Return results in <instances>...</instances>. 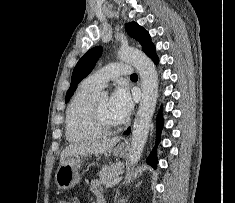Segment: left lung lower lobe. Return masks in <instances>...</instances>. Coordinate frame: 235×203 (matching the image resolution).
<instances>
[{
  "label": "left lung lower lobe",
  "mask_w": 235,
  "mask_h": 203,
  "mask_svg": "<svg viewBox=\"0 0 235 203\" xmlns=\"http://www.w3.org/2000/svg\"><path fill=\"white\" fill-rule=\"evenodd\" d=\"M155 63H158V57L155 52V46L152 45L146 52H145ZM157 132H156V142H159L160 139V133L161 129L163 127V118L162 114L159 113L157 116ZM131 129L128 128V130L125 132L126 135L130 133ZM157 146L154 147L153 151L147 158V163L152 165L154 168L157 166V151H156Z\"/></svg>",
  "instance_id": "1"
}]
</instances>
